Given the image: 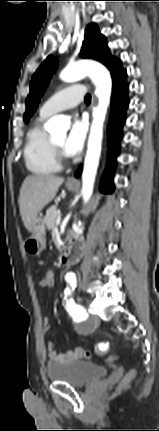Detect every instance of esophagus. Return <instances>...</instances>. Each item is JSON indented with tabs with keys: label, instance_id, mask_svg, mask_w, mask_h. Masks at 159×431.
<instances>
[{
	"label": "esophagus",
	"instance_id": "34e87169",
	"mask_svg": "<svg viewBox=\"0 0 159 431\" xmlns=\"http://www.w3.org/2000/svg\"><path fill=\"white\" fill-rule=\"evenodd\" d=\"M67 182H68L69 184H76V183H77V180H76V179H74V178H69Z\"/></svg>",
	"mask_w": 159,
	"mask_h": 431
}]
</instances>
